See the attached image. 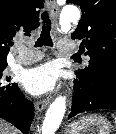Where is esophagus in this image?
<instances>
[{"label": "esophagus", "mask_w": 116, "mask_h": 134, "mask_svg": "<svg viewBox=\"0 0 116 134\" xmlns=\"http://www.w3.org/2000/svg\"><path fill=\"white\" fill-rule=\"evenodd\" d=\"M47 5L50 9L51 16L56 23L58 16H59V9L57 6V3L55 0H47ZM50 103V98L43 99L36 103V111L37 113H40L42 110H44Z\"/></svg>", "instance_id": "1"}]
</instances>
